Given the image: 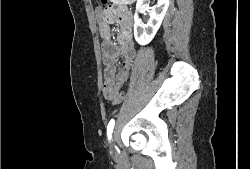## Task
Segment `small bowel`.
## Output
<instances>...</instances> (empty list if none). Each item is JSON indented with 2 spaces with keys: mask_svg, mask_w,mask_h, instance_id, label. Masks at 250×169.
<instances>
[{
  "mask_svg": "<svg viewBox=\"0 0 250 169\" xmlns=\"http://www.w3.org/2000/svg\"><path fill=\"white\" fill-rule=\"evenodd\" d=\"M114 13H118L119 17L125 18L123 11L117 9ZM111 13L108 12L106 18H109ZM109 21V19H106ZM125 32L124 37L127 42H124L121 47H116L110 43V31L108 23L103 19L100 23V35L102 42V61L104 64V84L103 95L106 98L108 91H117L121 88V83H126L136 56V50L132 42H129V27L126 21H121ZM118 57L123 58L122 65L119 70L116 67Z\"/></svg>",
  "mask_w": 250,
  "mask_h": 169,
  "instance_id": "c3829d8e",
  "label": "small bowel"
}]
</instances>
